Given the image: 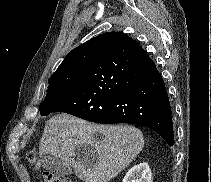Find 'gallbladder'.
<instances>
[{
    "mask_svg": "<svg viewBox=\"0 0 211 182\" xmlns=\"http://www.w3.org/2000/svg\"><path fill=\"white\" fill-rule=\"evenodd\" d=\"M76 156L79 157L82 161H85L87 154L92 157L93 160L97 158V154L93 148L88 145H78L75 149ZM42 166L49 172L56 175H69L72 173V169L60 158L53 155H44L41 158Z\"/></svg>",
    "mask_w": 211,
    "mask_h": 182,
    "instance_id": "gallbladder-1",
    "label": "gallbladder"
}]
</instances>
